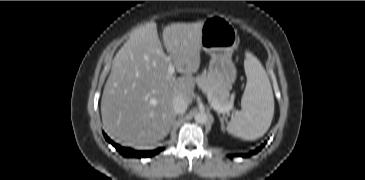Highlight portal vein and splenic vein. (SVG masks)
<instances>
[{
  "label": "portal vein and splenic vein",
  "instance_id": "1",
  "mask_svg": "<svg viewBox=\"0 0 365 180\" xmlns=\"http://www.w3.org/2000/svg\"><path fill=\"white\" fill-rule=\"evenodd\" d=\"M169 62L168 65V73L172 76L175 73V67L172 63L171 57H169L168 55H166L165 53L162 54ZM211 106L218 111L219 113H228L231 109V106L229 107H222L220 106L216 101L212 100L211 101Z\"/></svg>",
  "mask_w": 365,
  "mask_h": 180
}]
</instances>
